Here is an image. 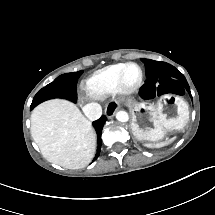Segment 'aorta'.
<instances>
[{
  "label": "aorta",
  "mask_w": 215,
  "mask_h": 215,
  "mask_svg": "<svg viewBox=\"0 0 215 215\" xmlns=\"http://www.w3.org/2000/svg\"><path fill=\"white\" fill-rule=\"evenodd\" d=\"M115 117L118 121H127L128 120V114L124 110H119L115 113Z\"/></svg>",
  "instance_id": "762f6f07"
}]
</instances>
